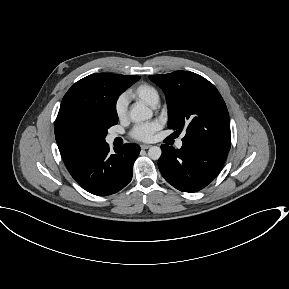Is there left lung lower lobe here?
Listing matches in <instances>:
<instances>
[{
  "mask_svg": "<svg viewBox=\"0 0 289 289\" xmlns=\"http://www.w3.org/2000/svg\"><path fill=\"white\" fill-rule=\"evenodd\" d=\"M181 149L163 144L159 170L165 180L184 192L207 186L220 172L228 151L196 142L182 141Z\"/></svg>",
  "mask_w": 289,
  "mask_h": 289,
  "instance_id": "obj_1",
  "label": "left lung lower lobe"
}]
</instances>
